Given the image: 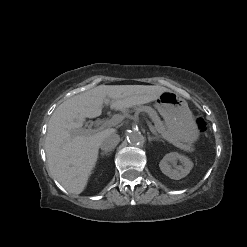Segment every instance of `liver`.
<instances>
[{
    "label": "liver",
    "instance_id": "6515ba94",
    "mask_svg": "<svg viewBox=\"0 0 247 247\" xmlns=\"http://www.w3.org/2000/svg\"><path fill=\"white\" fill-rule=\"evenodd\" d=\"M166 91L159 85H99L64 101L48 123L45 151L50 175L69 193L83 192L102 138L115 133L114 129L87 133L82 129L85 118L100 116L104 104L123 110L155 101Z\"/></svg>",
    "mask_w": 247,
    "mask_h": 247
}]
</instances>
